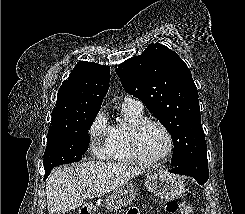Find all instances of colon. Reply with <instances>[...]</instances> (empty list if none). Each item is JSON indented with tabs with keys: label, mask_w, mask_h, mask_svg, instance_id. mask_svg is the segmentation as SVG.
I'll use <instances>...</instances> for the list:
<instances>
[{
	"label": "colon",
	"mask_w": 245,
	"mask_h": 214,
	"mask_svg": "<svg viewBox=\"0 0 245 214\" xmlns=\"http://www.w3.org/2000/svg\"><path fill=\"white\" fill-rule=\"evenodd\" d=\"M166 209L170 214H174L176 212H180L181 214H194V208L193 206L186 204L181 205L180 203L176 201H170L166 205Z\"/></svg>",
	"instance_id": "obj_1"
}]
</instances>
